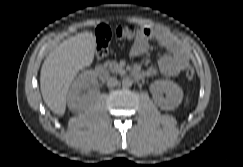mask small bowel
I'll use <instances>...</instances> for the list:
<instances>
[{
	"label": "small bowel",
	"instance_id": "obj_1",
	"mask_svg": "<svg viewBox=\"0 0 243 167\" xmlns=\"http://www.w3.org/2000/svg\"><path fill=\"white\" fill-rule=\"evenodd\" d=\"M150 40L156 41L168 54L159 59L157 68H147L144 71L145 76L152 77L158 72L165 76H174L189 64L188 51L179 41L162 29L149 26L140 27L130 49L131 56L144 55L148 51Z\"/></svg>",
	"mask_w": 243,
	"mask_h": 167
}]
</instances>
